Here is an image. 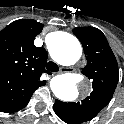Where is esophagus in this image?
<instances>
[{"instance_id":"1","label":"esophagus","mask_w":124,"mask_h":124,"mask_svg":"<svg viewBox=\"0 0 124 124\" xmlns=\"http://www.w3.org/2000/svg\"><path fill=\"white\" fill-rule=\"evenodd\" d=\"M75 68L74 67H61L60 68V73H67V72H74Z\"/></svg>"}]
</instances>
